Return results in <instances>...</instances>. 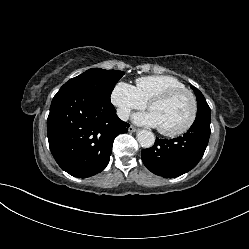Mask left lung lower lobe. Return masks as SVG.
<instances>
[{
    "label": "left lung lower lobe",
    "instance_id": "obj_1",
    "mask_svg": "<svg viewBox=\"0 0 249 249\" xmlns=\"http://www.w3.org/2000/svg\"><path fill=\"white\" fill-rule=\"evenodd\" d=\"M210 137V117H196L183 136L158 139L154 146L144 149V165L154 174L173 178L193 169L202 158Z\"/></svg>",
    "mask_w": 249,
    "mask_h": 249
}]
</instances>
